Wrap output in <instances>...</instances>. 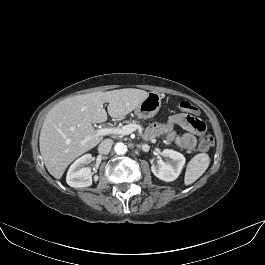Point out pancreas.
Here are the masks:
<instances>
[{"mask_svg":"<svg viewBox=\"0 0 265 265\" xmlns=\"http://www.w3.org/2000/svg\"><path fill=\"white\" fill-rule=\"evenodd\" d=\"M127 123H129V124H136V123H138V122H137V120H133V121H131V122L127 121Z\"/></svg>","mask_w":265,"mask_h":265,"instance_id":"cf45deb5","label":"pancreas"}]
</instances>
